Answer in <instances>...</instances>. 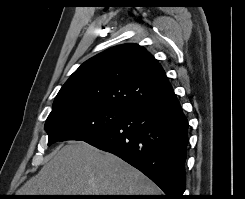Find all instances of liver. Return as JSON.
Returning a JSON list of instances; mask_svg holds the SVG:
<instances>
[{
	"instance_id": "liver-1",
	"label": "liver",
	"mask_w": 245,
	"mask_h": 199,
	"mask_svg": "<svg viewBox=\"0 0 245 199\" xmlns=\"http://www.w3.org/2000/svg\"><path fill=\"white\" fill-rule=\"evenodd\" d=\"M159 188L119 157L70 141L17 195H158Z\"/></svg>"
}]
</instances>
